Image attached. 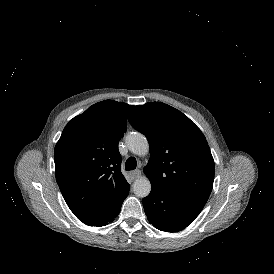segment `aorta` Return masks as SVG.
Masks as SVG:
<instances>
[{"label":"aorta","mask_w":274,"mask_h":274,"mask_svg":"<svg viewBox=\"0 0 274 274\" xmlns=\"http://www.w3.org/2000/svg\"><path fill=\"white\" fill-rule=\"evenodd\" d=\"M128 149L136 155H146L149 152V144L146 137L139 132H131L125 137ZM133 191L137 197L144 198L151 191V183L147 177H140L133 183Z\"/></svg>","instance_id":"762f6f07"}]
</instances>
